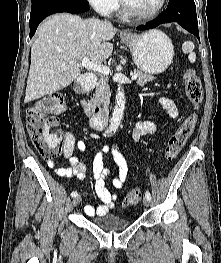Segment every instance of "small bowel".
<instances>
[{
    "mask_svg": "<svg viewBox=\"0 0 221 263\" xmlns=\"http://www.w3.org/2000/svg\"><path fill=\"white\" fill-rule=\"evenodd\" d=\"M162 105L167 109L171 116H176L178 113L177 105L170 99L162 98ZM156 133L155 124L147 119L136 124L133 137L138 139L142 135H154ZM65 141L63 147V155L68 160L69 166L56 168V162L47 160L46 164L49 168H55V173L59 177L77 178L80 180L86 177V166L82 163L80 157L75 153L76 150L84 152L86 145L83 141L76 138L72 132L65 133ZM111 151L115 163L119 167V173L111 181L113 187L117 189L123 188L128 174V164L122 152L117 146L109 150L108 147L101 149L93 158L92 169L94 178V189L98 198L101 200V205L94 207L88 205L84 208L88 216L105 215L116 206V195L112 194L108 188L107 178L109 171L104 168L105 155Z\"/></svg>",
    "mask_w": 221,
    "mask_h": 263,
    "instance_id": "c3829d8e",
    "label": "small bowel"
}]
</instances>
